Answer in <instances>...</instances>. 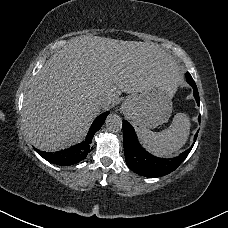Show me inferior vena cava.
Returning a JSON list of instances; mask_svg holds the SVG:
<instances>
[{
	"instance_id": "inferior-vena-cava-1",
	"label": "inferior vena cava",
	"mask_w": 228,
	"mask_h": 228,
	"mask_svg": "<svg viewBox=\"0 0 228 228\" xmlns=\"http://www.w3.org/2000/svg\"><path fill=\"white\" fill-rule=\"evenodd\" d=\"M96 105H97L98 107H102L103 102L99 100V101L96 102Z\"/></svg>"
}]
</instances>
